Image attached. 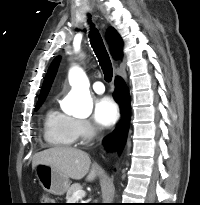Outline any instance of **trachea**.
I'll return each mask as SVG.
<instances>
[{"instance_id":"trachea-1","label":"trachea","mask_w":200,"mask_h":205,"mask_svg":"<svg viewBox=\"0 0 200 205\" xmlns=\"http://www.w3.org/2000/svg\"><path fill=\"white\" fill-rule=\"evenodd\" d=\"M90 21V18H89ZM90 42L91 46L96 54V57L98 58L99 64L103 70L105 80L111 81L113 76V69L110 57L108 55V52L105 48V45L103 43L102 37L98 30L92 26L90 34Z\"/></svg>"}]
</instances>
